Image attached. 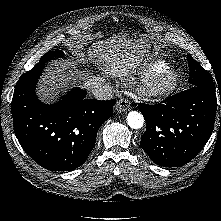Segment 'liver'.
Instances as JSON below:
<instances>
[{
	"label": "liver",
	"instance_id": "obj_1",
	"mask_svg": "<svg viewBox=\"0 0 221 221\" xmlns=\"http://www.w3.org/2000/svg\"><path fill=\"white\" fill-rule=\"evenodd\" d=\"M143 42H134L124 34L113 35L106 41H97L87 50L90 61L96 62L101 75H92L82 71H73V62L59 63L49 67L43 75L38 95L47 102L57 100L60 92L69 83H81L84 88L92 90L105 84L107 76L124 78L135 72L146 56ZM75 55L84 56L83 48L75 46Z\"/></svg>",
	"mask_w": 221,
	"mask_h": 221
}]
</instances>
